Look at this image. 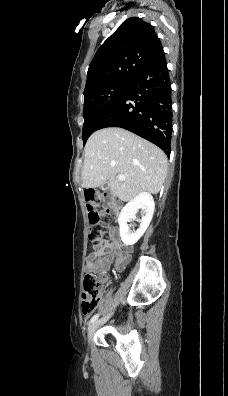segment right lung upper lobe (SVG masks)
Returning a JSON list of instances; mask_svg holds the SVG:
<instances>
[{
    "label": "right lung upper lobe",
    "mask_w": 228,
    "mask_h": 396,
    "mask_svg": "<svg viewBox=\"0 0 228 396\" xmlns=\"http://www.w3.org/2000/svg\"><path fill=\"white\" fill-rule=\"evenodd\" d=\"M161 49L151 24L138 17L125 20L97 50L88 69L84 93L110 83H131Z\"/></svg>",
    "instance_id": "right-lung-upper-lobe-1"
}]
</instances>
